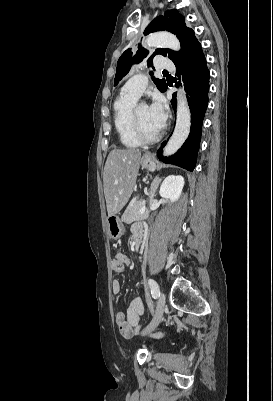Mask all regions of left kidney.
<instances>
[{"mask_svg": "<svg viewBox=\"0 0 273 401\" xmlns=\"http://www.w3.org/2000/svg\"><path fill=\"white\" fill-rule=\"evenodd\" d=\"M184 186V178L181 174H169L164 178L161 186H160V196L163 198H170L171 203H175L178 201V198L182 192V188Z\"/></svg>", "mask_w": 273, "mask_h": 401, "instance_id": "left-kidney-1", "label": "left kidney"}]
</instances>
